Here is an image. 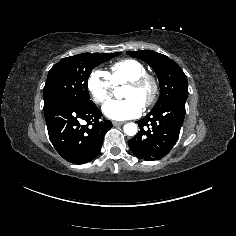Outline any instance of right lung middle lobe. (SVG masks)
I'll return each instance as SVG.
<instances>
[{
  "label": "right lung middle lobe",
  "mask_w": 236,
  "mask_h": 236,
  "mask_svg": "<svg viewBox=\"0 0 236 236\" xmlns=\"http://www.w3.org/2000/svg\"><path fill=\"white\" fill-rule=\"evenodd\" d=\"M119 54L120 52L112 54L82 53L63 58L48 73L43 88L44 105L57 100H67L80 105L91 103L87 87L91 71Z\"/></svg>",
  "instance_id": "obj_1"
}]
</instances>
